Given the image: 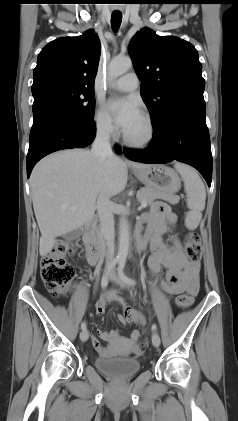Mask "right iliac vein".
<instances>
[{"label":"right iliac vein","mask_w":238,"mask_h":421,"mask_svg":"<svg viewBox=\"0 0 238 421\" xmlns=\"http://www.w3.org/2000/svg\"><path fill=\"white\" fill-rule=\"evenodd\" d=\"M88 338H89L88 331L87 330H82L81 333H80V339H81V341L85 342V341L88 340Z\"/></svg>","instance_id":"63e3f726"}]
</instances>
